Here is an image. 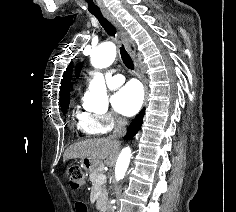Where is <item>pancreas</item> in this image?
<instances>
[{
    "instance_id": "pancreas-1",
    "label": "pancreas",
    "mask_w": 236,
    "mask_h": 212,
    "mask_svg": "<svg viewBox=\"0 0 236 212\" xmlns=\"http://www.w3.org/2000/svg\"><path fill=\"white\" fill-rule=\"evenodd\" d=\"M102 174V170L101 169H95L93 172L90 173L89 175V179L92 183L93 186L97 187L98 192H99V196H98V200H97V204L96 207L99 210H103L106 207L107 204V191L105 188V181H98V176Z\"/></svg>"
}]
</instances>
